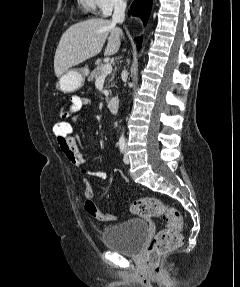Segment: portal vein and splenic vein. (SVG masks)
Wrapping results in <instances>:
<instances>
[{
  "instance_id": "1",
  "label": "portal vein and splenic vein",
  "mask_w": 240,
  "mask_h": 287,
  "mask_svg": "<svg viewBox=\"0 0 240 287\" xmlns=\"http://www.w3.org/2000/svg\"><path fill=\"white\" fill-rule=\"evenodd\" d=\"M111 72H112V65L110 63H106L103 67V75L102 76L108 75Z\"/></svg>"
}]
</instances>
